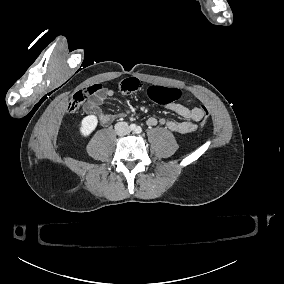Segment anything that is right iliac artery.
<instances>
[{"label": "right iliac artery", "instance_id": "obj_1", "mask_svg": "<svg viewBox=\"0 0 284 284\" xmlns=\"http://www.w3.org/2000/svg\"><path fill=\"white\" fill-rule=\"evenodd\" d=\"M135 128H136V126H135L134 124H131V125H130V129H131V130H135Z\"/></svg>", "mask_w": 284, "mask_h": 284}]
</instances>
